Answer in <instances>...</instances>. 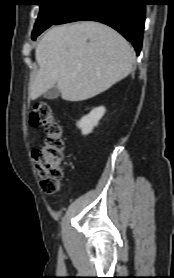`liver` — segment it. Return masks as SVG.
I'll return each mask as SVG.
<instances>
[{
	"mask_svg": "<svg viewBox=\"0 0 174 278\" xmlns=\"http://www.w3.org/2000/svg\"><path fill=\"white\" fill-rule=\"evenodd\" d=\"M39 69L29 86L37 99L56 85L62 99L92 98L128 76L135 55L128 41L114 29L83 21L50 29L35 51Z\"/></svg>",
	"mask_w": 174,
	"mask_h": 278,
	"instance_id": "1",
	"label": "liver"
}]
</instances>
